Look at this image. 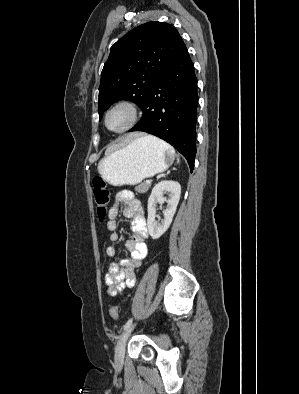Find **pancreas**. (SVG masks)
<instances>
[{
    "label": "pancreas",
    "instance_id": "pancreas-1",
    "mask_svg": "<svg viewBox=\"0 0 299 394\" xmlns=\"http://www.w3.org/2000/svg\"><path fill=\"white\" fill-rule=\"evenodd\" d=\"M150 187V184L141 183L140 185L135 187V191L138 193H146Z\"/></svg>",
    "mask_w": 299,
    "mask_h": 394
}]
</instances>
